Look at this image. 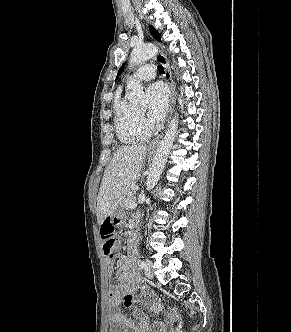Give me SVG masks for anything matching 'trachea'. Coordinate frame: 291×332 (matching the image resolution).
<instances>
[{
	"label": "trachea",
	"instance_id": "1",
	"mask_svg": "<svg viewBox=\"0 0 291 332\" xmlns=\"http://www.w3.org/2000/svg\"><path fill=\"white\" fill-rule=\"evenodd\" d=\"M158 70H159L160 73H164V67L163 66L159 65Z\"/></svg>",
	"mask_w": 291,
	"mask_h": 332
}]
</instances>
